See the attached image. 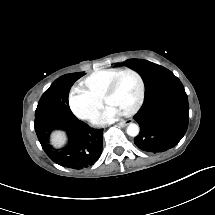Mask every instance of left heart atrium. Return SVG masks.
I'll use <instances>...</instances> for the list:
<instances>
[{
	"label": "left heart atrium",
	"instance_id": "obj_1",
	"mask_svg": "<svg viewBox=\"0 0 215 215\" xmlns=\"http://www.w3.org/2000/svg\"><path fill=\"white\" fill-rule=\"evenodd\" d=\"M123 113L122 109L114 101H109L102 109L100 118L102 121L111 120Z\"/></svg>",
	"mask_w": 215,
	"mask_h": 215
}]
</instances>
